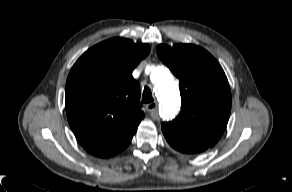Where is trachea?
Here are the masks:
<instances>
[{
    "label": "trachea",
    "mask_w": 292,
    "mask_h": 192,
    "mask_svg": "<svg viewBox=\"0 0 292 192\" xmlns=\"http://www.w3.org/2000/svg\"><path fill=\"white\" fill-rule=\"evenodd\" d=\"M143 103H151L153 102L152 93L149 87H145L143 91V97H142Z\"/></svg>",
    "instance_id": "trachea-1"
}]
</instances>
